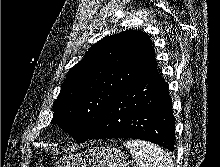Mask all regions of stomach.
<instances>
[{
  "label": "stomach",
  "mask_w": 220,
  "mask_h": 167,
  "mask_svg": "<svg viewBox=\"0 0 220 167\" xmlns=\"http://www.w3.org/2000/svg\"><path fill=\"white\" fill-rule=\"evenodd\" d=\"M55 167H127V161L117 148L94 147L60 158Z\"/></svg>",
  "instance_id": "0dacf381"
}]
</instances>
